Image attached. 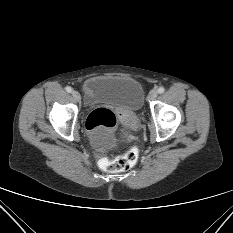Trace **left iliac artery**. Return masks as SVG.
Listing matches in <instances>:
<instances>
[{
    "instance_id": "left-iliac-artery-1",
    "label": "left iliac artery",
    "mask_w": 233,
    "mask_h": 233,
    "mask_svg": "<svg viewBox=\"0 0 233 233\" xmlns=\"http://www.w3.org/2000/svg\"><path fill=\"white\" fill-rule=\"evenodd\" d=\"M165 91V88L164 87H160L159 89H158V93H163Z\"/></svg>"
}]
</instances>
